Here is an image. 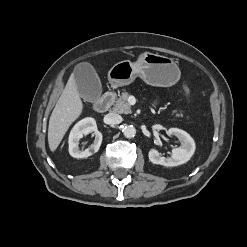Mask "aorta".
<instances>
[{
	"label": "aorta",
	"mask_w": 247,
	"mask_h": 247,
	"mask_svg": "<svg viewBox=\"0 0 247 247\" xmlns=\"http://www.w3.org/2000/svg\"><path fill=\"white\" fill-rule=\"evenodd\" d=\"M123 134H124V136L127 137V138H132V137H134L135 134H136V129H135V127L132 126V125L125 126V127L123 128Z\"/></svg>",
	"instance_id": "aorta-1"
}]
</instances>
